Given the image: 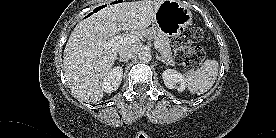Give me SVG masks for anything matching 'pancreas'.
<instances>
[{
	"instance_id": "1",
	"label": "pancreas",
	"mask_w": 276,
	"mask_h": 138,
	"mask_svg": "<svg viewBox=\"0 0 276 138\" xmlns=\"http://www.w3.org/2000/svg\"><path fill=\"white\" fill-rule=\"evenodd\" d=\"M140 34L145 38L154 40V42L158 44L157 49L160 52L163 59L168 64L174 65V60L172 58V51L170 47V41L167 36L163 35L161 32L155 30L154 28L142 30L140 31Z\"/></svg>"
}]
</instances>
